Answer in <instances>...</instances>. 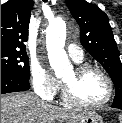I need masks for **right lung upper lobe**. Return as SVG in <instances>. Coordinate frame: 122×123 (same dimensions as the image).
Instances as JSON below:
<instances>
[{
    "mask_svg": "<svg viewBox=\"0 0 122 123\" xmlns=\"http://www.w3.org/2000/svg\"><path fill=\"white\" fill-rule=\"evenodd\" d=\"M33 2L8 0L1 5V50L26 52Z\"/></svg>",
    "mask_w": 122,
    "mask_h": 123,
    "instance_id": "cb5924a9",
    "label": "right lung upper lobe"
}]
</instances>
